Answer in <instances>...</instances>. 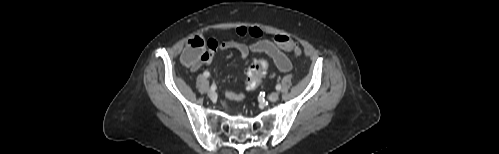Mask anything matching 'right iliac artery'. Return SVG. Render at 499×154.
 Listing matches in <instances>:
<instances>
[{
	"instance_id": "right-iliac-artery-1",
	"label": "right iliac artery",
	"mask_w": 499,
	"mask_h": 154,
	"mask_svg": "<svg viewBox=\"0 0 499 154\" xmlns=\"http://www.w3.org/2000/svg\"><path fill=\"white\" fill-rule=\"evenodd\" d=\"M203 74H204L205 77H209L210 76V73L208 71H205ZM216 88H217L216 85H212L211 86V90L212 91H215Z\"/></svg>"
}]
</instances>
